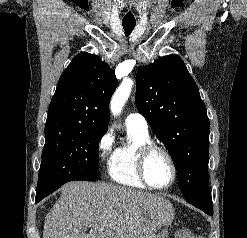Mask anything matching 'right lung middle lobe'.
Instances as JSON below:
<instances>
[{
  "mask_svg": "<svg viewBox=\"0 0 247 238\" xmlns=\"http://www.w3.org/2000/svg\"><path fill=\"white\" fill-rule=\"evenodd\" d=\"M106 130L96 127L62 129L45 134L36 200L72 180L99 178V141Z\"/></svg>",
  "mask_w": 247,
  "mask_h": 238,
  "instance_id": "right-lung-middle-lobe-1",
  "label": "right lung middle lobe"
}]
</instances>
